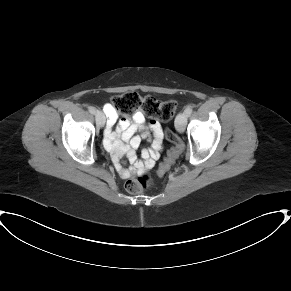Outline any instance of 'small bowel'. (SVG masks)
Listing matches in <instances>:
<instances>
[{"instance_id":"small-bowel-1","label":"small bowel","mask_w":291,"mask_h":291,"mask_svg":"<svg viewBox=\"0 0 291 291\" xmlns=\"http://www.w3.org/2000/svg\"><path fill=\"white\" fill-rule=\"evenodd\" d=\"M103 111L108 119L104 145L110 152L120 175L126 179L133 178L153 168L163 149V131L160 123L152 119L147 120L141 111L135 112L131 120L126 113L120 114L109 103L103 106ZM138 132H142L143 137L148 136L149 132L153 136L152 148L143 149L139 157L136 152L141 143V137L137 135ZM184 151L185 146L179 143L175 157H180ZM124 157L129 160L130 166H123Z\"/></svg>"}]
</instances>
